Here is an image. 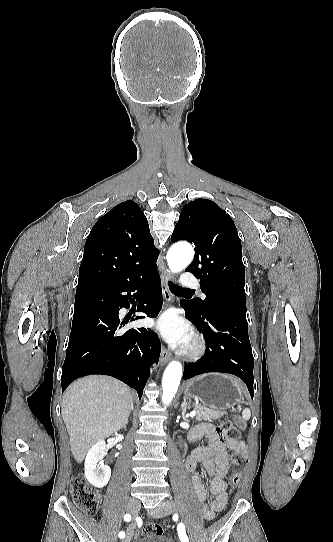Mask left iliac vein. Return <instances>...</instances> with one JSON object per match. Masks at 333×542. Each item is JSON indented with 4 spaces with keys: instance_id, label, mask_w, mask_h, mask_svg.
Here are the masks:
<instances>
[{
    "instance_id": "1",
    "label": "left iliac vein",
    "mask_w": 333,
    "mask_h": 542,
    "mask_svg": "<svg viewBox=\"0 0 333 542\" xmlns=\"http://www.w3.org/2000/svg\"><path fill=\"white\" fill-rule=\"evenodd\" d=\"M176 510L177 508L173 503L167 502L164 504V508L160 512H154V515H156V517H163Z\"/></svg>"
}]
</instances>
